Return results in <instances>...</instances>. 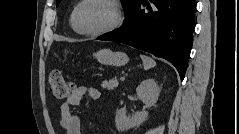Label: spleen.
<instances>
[{
    "mask_svg": "<svg viewBox=\"0 0 239 134\" xmlns=\"http://www.w3.org/2000/svg\"><path fill=\"white\" fill-rule=\"evenodd\" d=\"M140 57L143 61V66H144L145 70H148V69L156 66V62L152 58L145 56V55H140Z\"/></svg>",
    "mask_w": 239,
    "mask_h": 134,
    "instance_id": "obj_1",
    "label": "spleen"
}]
</instances>
